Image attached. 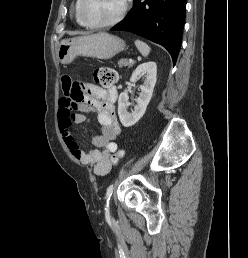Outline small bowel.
<instances>
[{"instance_id": "small-bowel-1", "label": "small bowel", "mask_w": 248, "mask_h": 258, "mask_svg": "<svg viewBox=\"0 0 248 258\" xmlns=\"http://www.w3.org/2000/svg\"><path fill=\"white\" fill-rule=\"evenodd\" d=\"M76 86L77 83L70 79L62 80L64 95L59 102V128L71 155L80 163L92 166L96 175L104 176L110 172L113 154L118 149L115 142L120 133L115 112L118 91L113 86L90 85L86 95L82 94L80 99H75V95H78ZM75 109L79 112L74 113ZM87 113L97 115L100 133L92 134L95 148L86 152L78 145L73 126L88 121Z\"/></svg>"}]
</instances>
